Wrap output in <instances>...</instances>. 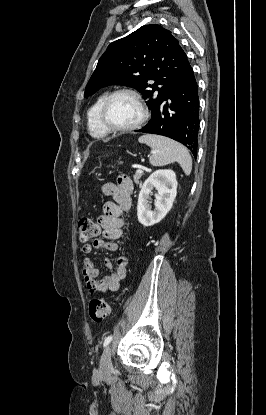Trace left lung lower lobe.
<instances>
[{
	"instance_id": "1",
	"label": "left lung lower lobe",
	"mask_w": 266,
	"mask_h": 415,
	"mask_svg": "<svg viewBox=\"0 0 266 415\" xmlns=\"http://www.w3.org/2000/svg\"><path fill=\"white\" fill-rule=\"evenodd\" d=\"M169 100V101H167ZM199 131L198 85L189 62L150 121L137 132L158 134L185 145L196 158Z\"/></svg>"
}]
</instances>
